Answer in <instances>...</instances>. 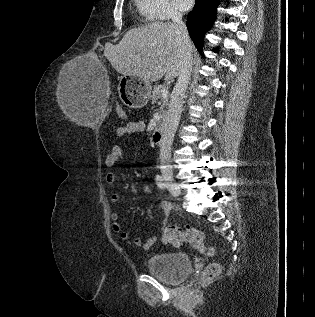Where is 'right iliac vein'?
<instances>
[{"label": "right iliac vein", "mask_w": 315, "mask_h": 317, "mask_svg": "<svg viewBox=\"0 0 315 317\" xmlns=\"http://www.w3.org/2000/svg\"><path fill=\"white\" fill-rule=\"evenodd\" d=\"M163 178L166 182V185L174 196H179L181 194V190L179 185L173 180L171 174L169 172H163Z\"/></svg>", "instance_id": "obj_1"}]
</instances>
